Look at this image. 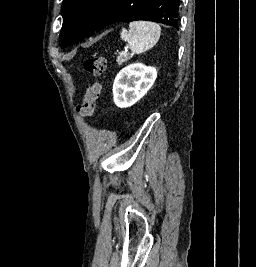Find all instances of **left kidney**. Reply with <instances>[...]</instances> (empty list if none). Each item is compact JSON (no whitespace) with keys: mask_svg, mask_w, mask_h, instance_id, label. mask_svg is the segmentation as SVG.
Segmentation results:
<instances>
[{"mask_svg":"<svg viewBox=\"0 0 256 267\" xmlns=\"http://www.w3.org/2000/svg\"><path fill=\"white\" fill-rule=\"evenodd\" d=\"M157 78L156 68L145 64H129L117 74L113 84V100L118 108H128L141 100Z\"/></svg>","mask_w":256,"mask_h":267,"instance_id":"left-kidney-1","label":"left kidney"}]
</instances>
